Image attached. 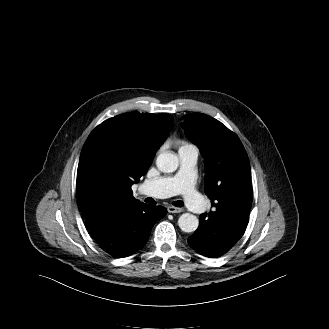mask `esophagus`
I'll return each instance as SVG.
<instances>
[{
    "label": "esophagus",
    "mask_w": 329,
    "mask_h": 329,
    "mask_svg": "<svg viewBox=\"0 0 329 329\" xmlns=\"http://www.w3.org/2000/svg\"><path fill=\"white\" fill-rule=\"evenodd\" d=\"M167 210H168L169 213H180V212L183 211L182 208H178V207H175V206H168Z\"/></svg>",
    "instance_id": "34e87169"
}]
</instances>
